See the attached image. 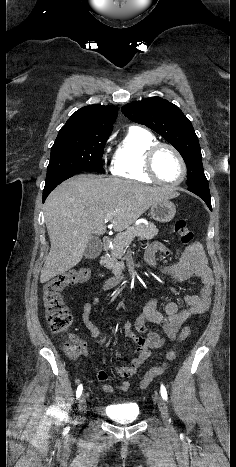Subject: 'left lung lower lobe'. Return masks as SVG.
Segmentation results:
<instances>
[{"label": "left lung lower lobe", "mask_w": 236, "mask_h": 467, "mask_svg": "<svg viewBox=\"0 0 236 467\" xmlns=\"http://www.w3.org/2000/svg\"><path fill=\"white\" fill-rule=\"evenodd\" d=\"M188 190L198 195L200 198H202L207 204V206L209 207V209H212L211 197H210V191H209L208 185L188 187Z\"/></svg>", "instance_id": "1"}]
</instances>
